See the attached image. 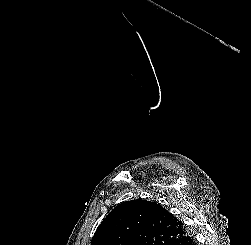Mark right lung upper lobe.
<instances>
[{
  "instance_id": "obj_1",
  "label": "right lung upper lobe",
  "mask_w": 251,
  "mask_h": 245,
  "mask_svg": "<svg viewBox=\"0 0 251 245\" xmlns=\"http://www.w3.org/2000/svg\"><path fill=\"white\" fill-rule=\"evenodd\" d=\"M186 232L183 223L160 204L138 199L115 207L96 230L91 245H172Z\"/></svg>"
}]
</instances>
